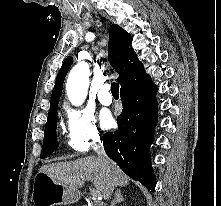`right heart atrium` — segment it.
<instances>
[{
	"label": "right heart atrium",
	"instance_id": "1",
	"mask_svg": "<svg viewBox=\"0 0 221 206\" xmlns=\"http://www.w3.org/2000/svg\"><path fill=\"white\" fill-rule=\"evenodd\" d=\"M67 141L76 152H85L101 140L93 114L87 109L66 110Z\"/></svg>",
	"mask_w": 221,
	"mask_h": 206
}]
</instances>
